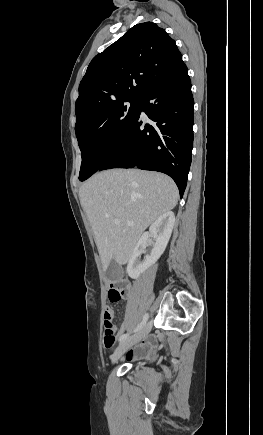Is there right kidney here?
<instances>
[{
	"label": "right kidney",
	"instance_id": "ca27d5eb",
	"mask_svg": "<svg viewBox=\"0 0 263 435\" xmlns=\"http://www.w3.org/2000/svg\"><path fill=\"white\" fill-rule=\"evenodd\" d=\"M174 224L175 215L173 212L168 211L153 222L149 232L142 235L128 262L127 273L131 278L137 279L160 258L169 242ZM150 237L155 241L153 249L150 255H146L144 259H141Z\"/></svg>",
	"mask_w": 263,
	"mask_h": 435
}]
</instances>
